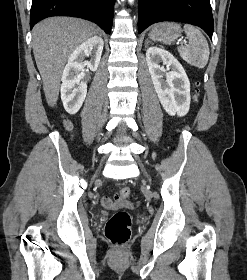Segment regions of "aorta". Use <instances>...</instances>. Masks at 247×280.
I'll return each mask as SVG.
<instances>
[{
	"label": "aorta",
	"instance_id": "762f6f07",
	"mask_svg": "<svg viewBox=\"0 0 247 280\" xmlns=\"http://www.w3.org/2000/svg\"><path fill=\"white\" fill-rule=\"evenodd\" d=\"M128 2H129L130 4H132V3L134 2V0H128Z\"/></svg>",
	"mask_w": 247,
	"mask_h": 280
}]
</instances>
